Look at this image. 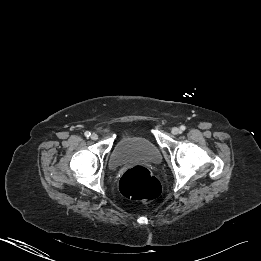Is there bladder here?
<instances>
[{
  "label": "bladder",
  "instance_id": "obj_1",
  "mask_svg": "<svg viewBox=\"0 0 261 261\" xmlns=\"http://www.w3.org/2000/svg\"><path fill=\"white\" fill-rule=\"evenodd\" d=\"M161 158L160 150L149 139L124 136L112 148L109 165L115 169L134 162L158 164Z\"/></svg>",
  "mask_w": 261,
  "mask_h": 261
}]
</instances>
